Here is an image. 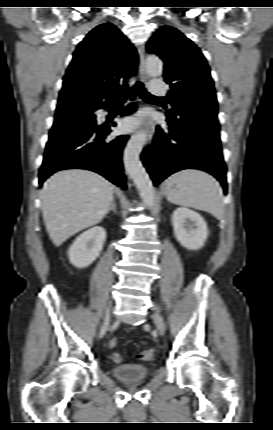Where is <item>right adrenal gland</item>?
I'll use <instances>...</instances> for the list:
<instances>
[{"instance_id": "right-adrenal-gland-1", "label": "right adrenal gland", "mask_w": 273, "mask_h": 430, "mask_svg": "<svg viewBox=\"0 0 273 430\" xmlns=\"http://www.w3.org/2000/svg\"><path fill=\"white\" fill-rule=\"evenodd\" d=\"M111 210H112L114 213H116V204H115V200H113V202H112V204H111V206H110V208H109V210H108V212H107V213H109Z\"/></svg>"}]
</instances>
